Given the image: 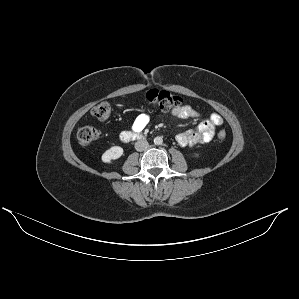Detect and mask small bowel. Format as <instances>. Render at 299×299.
Returning <instances> with one entry per match:
<instances>
[{
  "label": "small bowel",
  "mask_w": 299,
  "mask_h": 299,
  "mask_svg": "<svg viewBox=\"0 0 299 299\" xmlns=\"http://www.w3.org/2000/svg\"><path fill=\"white\" fill-rule=\"evenodd\" d=\"M172 114L181 119L201 118L202 115L189 105L179 106L172 110ZM150 117L147 114L138 115L131 126V132L141 133L149 124ZM223 124V118L218 114H211L209 119L202 120L197 127L188 131L179 133L176 141L181 146H197L209 143L216 131V127Z\"/></svg>",
  "instance_id": "c3829d8e"
}]
</instances>
